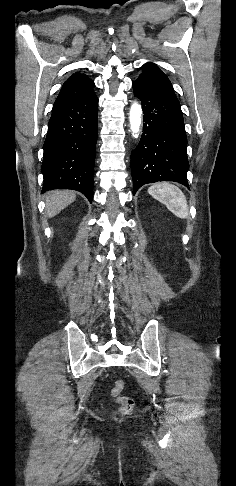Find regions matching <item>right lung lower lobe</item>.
I'll list each match as a JSON object with an SVG mask.
<instances>
[{"label": "right lung lower lobe", "instance_id": "1", "mask_svg": "<svg viewBox=\"0 0 236 486\" xmlns=\"http://www.w3.org/2000/svg\"><path fill=\"white\" fill-rule=\"evenodd\" d=\"M97 110L95 93L53 106L44 142L42 193L52 189H73L92 202Z\"/></svg>", "mask_w": 236, "mask_h": 486}]
</instances>
